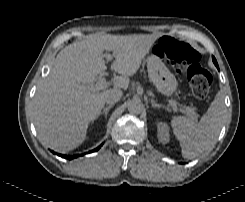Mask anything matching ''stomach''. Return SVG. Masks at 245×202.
<instances>
[{
	"label": "stomach",
	"mask_w": 245,
	"mask_h": 202,
	"mask_svg": "<svg viewBox=\"0 0 245 202\" xmlns=\"http://www.w3.org/2000/svg\"><path fill=\"white\" fill-rule=\"evenodd\" d=\"M148 75L158 92L172 96L177 88V80L165 65L163 58L152 48L146 59Z\"/></svg>",
	"instance_id": "stomach-1"
}]
</instances>
